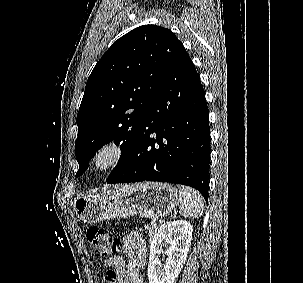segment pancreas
Here are the masks:
<instances>
[{"mask_svg": "<svg viewBox=\"0 0 303 283\" xmlns=\"http://www.w3.org/2000/svg\"><path fill=\"white\" fill-rule=\"evenodd\" d=\"M145 229L148 231L149 237L152 238L158 230V227L154 221L145 225Z\"/></svg>", "mask_w": 303, "mask_h": 283, "instance_id": "cf45deb5", "label": "pancreas"}]
</instances>
